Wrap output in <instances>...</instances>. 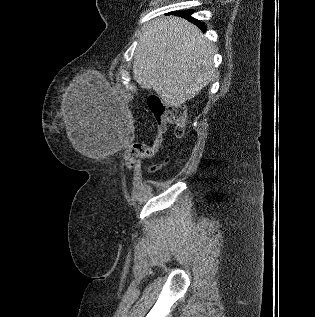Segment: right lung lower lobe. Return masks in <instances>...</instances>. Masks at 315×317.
<instances>
[{"instance_id":"right-lung-lower-lobe-1","label":"right lung lower lobe","mask_w":315,"mask_h":317,"mask_svg":"<svg viewBox=\"0 0 315 317\" xmlns=\"http://www.w3.org/2000/svg\"><path fill=\"white\" fill-rule=\"evenodd\" d=\"M193 11L192 10H187V11H182V12H177L176 14L187 17L188 19H190L192 22H194L195 24H197L203 31L205 30V25L203 23H201L198 20H195L193 18L190 17V14H192Z\"/></svg>"}]
</instances>
